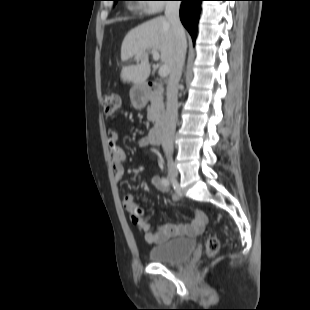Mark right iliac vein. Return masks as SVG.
Listing matches in <instances>:
<instances>
[{"instance_id":"right-iliac-vein-1","label":"right iliac vein","mask_w":310,"mask_h":310,"mask_svg":"<svg viewBox=\"0 0 310 310\" xmlns=\"http://www.w3.org/2000/svg\"><path fill=\"white\" fill-rule=\"evenodd\" d=\"M167 167H168L169 178L171 180L176 181L178 178V169L176 167V164L171 159H169L167 161Z\"/></svg>"}]
</instances>
